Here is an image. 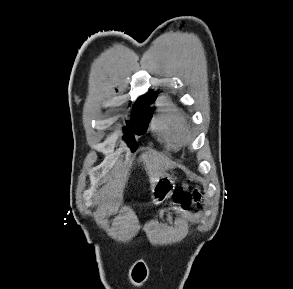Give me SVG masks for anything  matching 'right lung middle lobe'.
<instances>
[{
    "mask_svg": "<svg viewBox=\"0 0 293 289\" xmlns=\"http://www.w3.org/2000/svg\"><path fill=\"white\" fill-rule=\"evenodd\" d=\"M148 99V98H147ZM137 102L132 111L133 119L130 122H127L128 128H125V136L127 144L130 146L132 151H135L138 147L134 139V133L144 134L148 127V122L152 116V112L142 111L141 108L144 106L145 101ZM134 132V133H133Z\"/></svg>",
    "mask_w": 293,
    "mask_h": 289,
    "instance_id": "right-lung-middle-lobe-1",
    "label": "right lung middle lobe"
}]
</instances>
